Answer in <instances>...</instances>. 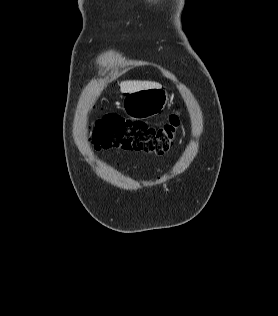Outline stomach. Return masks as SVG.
<instances>
[{
    "label": "stomach",
    "mask_w": 278,
    "mask_h": 316,
    "mask_svg": "<svg viewBox=\"0 0 278 316\" xmlns=\"http://www.w3.org/2000/svg\"><path fill=\"white\" fill-rule=\"evenodd\" d=\"M168 100L162 88L142 89L123 94L122 109L131 119H147L161 112Z\"/></svg>",
    "instance_id": "obj_1"
}]
</instances>
